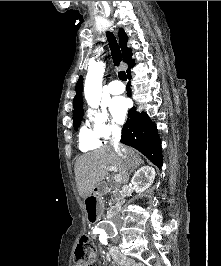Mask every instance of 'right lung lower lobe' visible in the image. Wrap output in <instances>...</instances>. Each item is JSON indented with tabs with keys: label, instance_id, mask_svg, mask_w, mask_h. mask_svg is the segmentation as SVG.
<instances>
[{
	"label": "right lung lower lobe",
	"instance_id": "obj_1",
	"mask_svg": "<svg viewBox=\"0 0 221 266\" xmlns=\"http://www.w3.org/2000/svg\"><path fill=\"white\" fill-rule=\"evenodd\" d=\"M127 75L131 79L130 72ZM127 95L130 96L129 88ZM121 143L137 149L161 168L163 163L161 140L156 125L146 113H137L135 108L129 110L127 122L122 129Z\"/></svg>",
	"mask_w": 221,
	"mask_h": 266
}]
</instances>
